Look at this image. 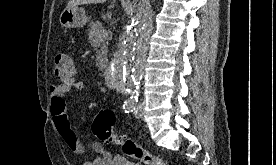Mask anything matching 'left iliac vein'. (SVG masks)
Wrapping results in <instances>:
<instances>
[{
    "mask_svg": "<svg viewBox=\"0 0 276 165\" xmlns=\"http://www.w3.org/2000/svg\"><path fill=\"white\" fill-rule=\"evenodd\" d=\"M135 116L138 119L143 118V111L141 106H139V108L135 111Z\"/></svg>",
    "mask_w": 276,
    "mask_h": 165,
    "instance_id": "1",
    "label": "left iliac vein"
}]
</instances>
